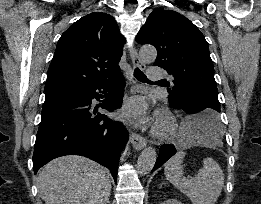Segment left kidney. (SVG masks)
<instances>
[{"instance_id":"1","label":"left kidney","mask_w":261,"mask_h":204,"mask_svg":"<svg viewBox=\"0 0 261 204\" xmlns=\"http://www.w3.org/2000/svg\"><path fill=\"white\" fill-rule=\"evenodd\" d=\"M160 204H183V203L178 201L177 199H168Z\"/></svg>"}]
</instances>
